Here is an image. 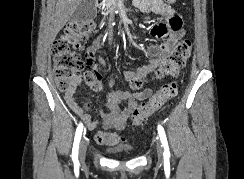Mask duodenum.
Instances as JSON below:
<instances>
[{"mask_svg": "<svg viewBox=\"0 0 244 179\" xmlns=\"http://www.w3.org/2000/svg\"><path fill=\"white\" fill-rule=\"evenodd\" d=\"M105 2H106V0H98L97 1V6H104Z\"/></svg>", "mask_w": 244, "mask_h": 179, "instance_id": "obj_1", "label": "duodenum"}]
</instances>
